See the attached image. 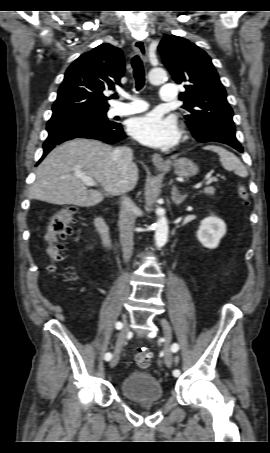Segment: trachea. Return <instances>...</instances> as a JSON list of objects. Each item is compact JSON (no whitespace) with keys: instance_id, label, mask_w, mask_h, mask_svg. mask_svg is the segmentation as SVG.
Returning <instances> with one entry per match:
<instances>
[{"instance_id":"1","label":"trachea","mask_w":270,"mask_h":453,"mask_svg":"<svg viewBox=\"0 0 270 453\" xmlns=\"http://www.w3.org/2000/svg\"><path fill=\"white\" fill-rule=\"evenodd\" d=\"M132 68H133V75L135 79L136 89L140 90L143 88L145 84V72L143 63L138 55L134 56L131 61ZM114 98H118L117 95Z\"/></svg>"}]
</instances>
